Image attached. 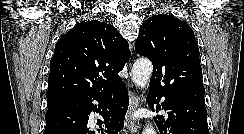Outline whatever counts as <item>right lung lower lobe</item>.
Segmentation results:
<instances>
[{"label":"right lung lower lobe","instance_id":"1","mask_svg":"<svg viewBox=\"0 0 244 134\" xmlns=\"http://www.w3.org/2000/svg\"><path fill=\"white\" fill-rule=\"evenodd\" d=\"M93 100L103 104L100 115L105 120H97V130H91L89 126L90 113L98 111ZM128 104L126 86L119 79L101 93L71 98L49 107L43 134H117L123 128Z\"/></svg>","mask_w":244,"mask_h":134}]
</instances>
